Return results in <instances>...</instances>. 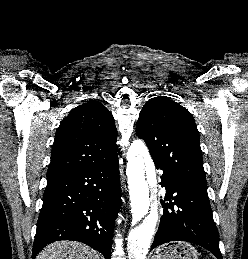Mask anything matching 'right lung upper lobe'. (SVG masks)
<instances>
[{"label":"right lung upper lobe","mask_w":248,"mask_h":259,"mask_svg":"<svg viewBox=\"0 0 248 259\" xmlns=\"http://www.w3.org/2000/svg\"><path fill=\"white\" fill-rule=\"evenodd\" d=\"M116 138L114 118L102 103L77 106L56 132L47 176L106 162L118 152Z\"/></svg>","instance_id":"cb5924a9"}]
</instances>
